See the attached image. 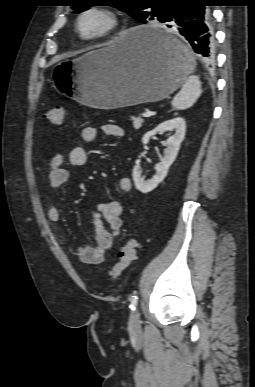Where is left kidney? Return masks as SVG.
<instances>
[{
	"instance_id": "obj_1",
	"label": "left kidney",
	"mask_w": 255,
	"mask_h": 387,
	"mask_svg": "<svg viewBox=\"0 0 255 387\" xmlns=\"http://www.w3.org/2000/svg\"><path fill=\"white\" fill-rule=\"evenodd\" d=\"M169 130H174L175 133L166 141L167 148L164 150V157L161 162L155 165L156 174L151 179L145 180L139 167L135 166L133 169L132 176L135 187L142 193L152 191L166 177L168 169L175 161L180 144L184 139L186 122L182 117L167 120L159 124L155 129L148 131L142 138V143L145 145L149 142L152 136Z\"/></svg>"
}]
</instances>
